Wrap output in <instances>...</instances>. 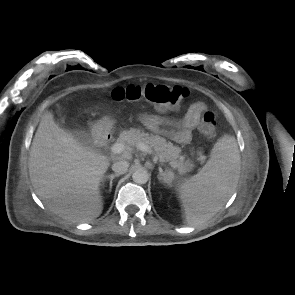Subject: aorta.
<instances>
[{
	"label": "aorta",
	"mask_w": 295,
	"mask_h": 295,
	"mask_svg": "<svg viewBox=\"0 0 295 295\" xmlns=\"http://www.w3.org/2000/svg\"><path fill=\"white\" fill-rule=\"evenodd\" d=\"M132 179L137 184H145L149 179L147 170L144 168L136 169L132 174Z\"/></svg>",
	"instance_id": "1"
}]
</instances>
